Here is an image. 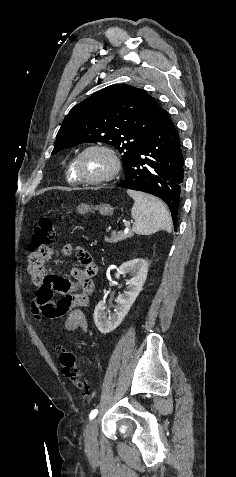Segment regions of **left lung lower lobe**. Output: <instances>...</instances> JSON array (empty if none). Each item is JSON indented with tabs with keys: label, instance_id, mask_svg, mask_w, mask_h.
I'll return each mask as SVG.
<instances>
[{
	"label": "left lung lower lobe",
	"instance_id": "1",
	"mask_svg": "<svg viewBox=\"0 0 236 477\" xmlns=\"http://www.w3.org/2000/svg\"><path fill=\"white\" fill-rule=\"evenodd\" d=\"M118 187L160 197L171 210L176 229L184 182V158L175 126L166 110L132 157Z\"/></svg>",
	"mask_w": 236,
	"mask_h": 477
}]
</instances>
